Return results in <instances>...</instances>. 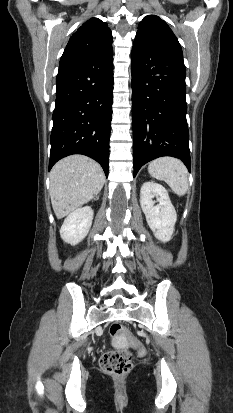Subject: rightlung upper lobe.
<instances>
[{
  "label": "right lung upper lobe",
  "instance_id": "cb5924a9",
  "mask_svg": "<svg viewBox=\"0 0 233 413\" xmlns=\"http://www.w3.org/2000/svg\"><path fill=\"white\" fill-rule=\"evenodd\" d=\"M112 47V33L106 23L91 18L70 38L60 64L97 55Z\"/></svg>",
  "mask_w": 233,
  "mask_h": 413
}]
</instances>
